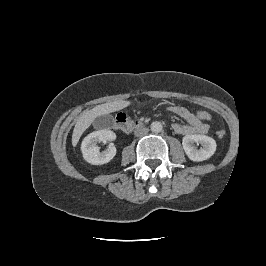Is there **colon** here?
I'll use <instances>...</instances> for the list:
<instances>
[{"instance_id":"1","label":"colon","mask_w":266,"mask_h":266,"mask_svg":"<svg viewBox=\"0 0 266 266\" xmlns=\"http://www.w3.org/2000/svg\"><path fill=\"white\" fill-rule=\"evenodd\" d=\"M196 117L200 120V121H209L211 120V114L208 111L205 110H199L196 112ZM216 135L219 138H222L225 136V130H218L216 132Z\"/></svg>"}]
</instances>
